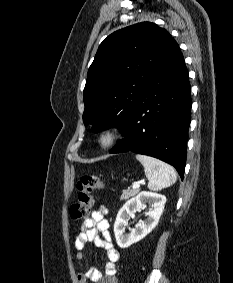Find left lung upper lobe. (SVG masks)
<instances>
[{
    "label": "left lung upper lobe",
    "mask_w": 233,
    "mask_h": 283,
    "mask_svg": "<svg viewBox=\"0 0 233 283\" xmlns=\"http://www.w3.org/2000/svg\"><path fill=\"white\" fill-rule=\"evenodd\" d=\"M176 41L151 22L120 29L100 44L83 91V122L93 132L121 131L138 104L151 74L166 59Z\"/></svg>",
    "instance_id": "left-lung-upper-lobe-1"
}]
</instances>
